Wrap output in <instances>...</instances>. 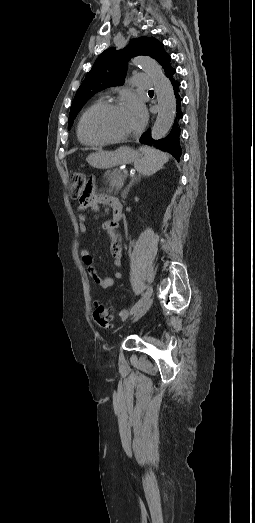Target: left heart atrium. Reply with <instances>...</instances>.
<instances>
[{"instance_id": "39dd6f15", "label": "left heart atrium", "mask_w": 255, "mask_h": 523, "mask_svg": "<svg viewBox=\"0 0 255 523\" xmlns=\"http://www.w3.org/2000/svg\"><path fill=\"white\" fill-rule=\"evenodd\" d=\"M128 106L131 108V110L134 114V118H135V122H136V130L140 129L144 125V123L147 119V110H146L144 104L141 101H139L138 99L132 98L129 101Z\"/></svg>"}]
</instances>
